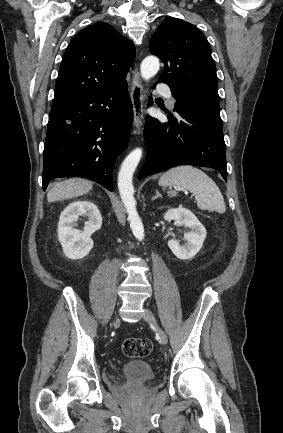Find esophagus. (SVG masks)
Returning a JSON list of instances; mask_svg holds the SVG:
<instances>
[{"label": "esophagus", "instance_id": "34e87169", "mask_svg": "<svg viewBox=\"0 0 283 433\" xmlns=\"http://www.w3.org/2000/svg\"><path fill=\"white\" fill-rule=\"evenodd\" d=\"M131 101L133 105V122L135 127L139 130L144 119V89L141 83L138 68H136L133 72L131 84Z\"/></svg>", "mask_w": 283, "mask_h": 433}]
</instances>
